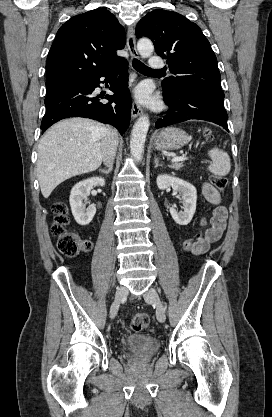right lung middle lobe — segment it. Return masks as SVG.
<instances>
[{
  "instance_id": "dd1d6c3e",
  "label": "right lung middle lobe",
  "mask_w": 272,
  "mask_h": 417,
  "mask_svg": "<svg viewBox=\"0 0 272 417\" xmlns=\"http://www.w3.org/2000/svg\"><path fill=\"white\" fill-rule=\"evenodd\" d=\"M50 90H51V89L47 88V89H46V92L48 93V92H50Z\"/></svg>"
}]
</instances>
